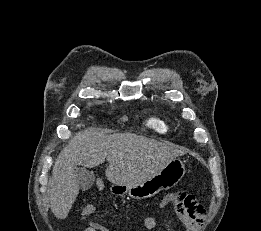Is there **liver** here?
I'll use <instances>...</instances> for the list:
<instances>
[{
  "label": "liver",
  "mask_w": 261,
  "mask_h": 231,
  "mask_svg": "<svg viewBox=\"0 0 261 231\" xmlns=\"http://www.w3.org/2000/svg\"><path fill=\"white\" fill-rule=\"evenodd\" d=\"M185 152L168 142L131 133L107 135L99 129L77 133L59 154L49 180L50 208L57 219H65L79 194L78 166L94 168L105 160L109 182L117 185L141 183L160 172Z\"/></svg>",
  "instance_id": "liver-1"
}]
</instances>
